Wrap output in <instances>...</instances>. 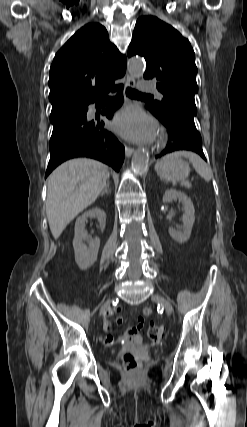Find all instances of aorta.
<instances>
[{
    "instance_id": "762f6f07",
    "label": "aorta",
    "mask_w": 247,
    "mask_h": 427,
    "mask_svg": "<svg viewBox=\"0 0 247 427\" xmlns=\"http://www.w3.org/2000/svg\"><path fill=\"white\" fill-rule=\"evenodd\" d=\"M128 71L134 77H141L145 71V63L137 58L130 59ZM149 163V152L145 149L135 152L132 158L131 167L134 173L144 172Z\"/></svg>"
}]
</instances>
